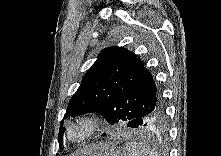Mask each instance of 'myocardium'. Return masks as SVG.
Here are the masks:
<instances>
[{"mask_svg": "<svg viewBox=\"0 0 221 156\" xmlns=\"http://www.w3.org/2000/svg\"><path fill=\"white\" fill-rule=\"evenodd\" d=\"M105 122L96 113L78 115L64 125L62 139L65 144L79 146L90 142L104 130Z\"/></svg>", "mask_w": 221, "mask_h": 156, "instance_id": "1", "label": "myocardium"}]
</instances>
